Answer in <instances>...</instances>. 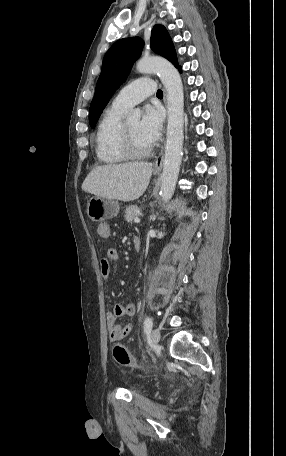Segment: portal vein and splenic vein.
I'll list each match as a JSON object with an SVG mask.
<instances>
[{"mask_svg":"<svg viewBox=\"0 0 286 456\" xmlns=\"http://www.w3.org/2000/svg\"><path fill=\"white\" fill-rule=\"evenodd\" d=\"M134 222H135V223H140V219H139L138 217H135V218H134Z\"/></svg>","mask_w":286,"mask_h":456,"instance_id":"obj_1","label":"portal vein and splenic vein"}]
</instances>
